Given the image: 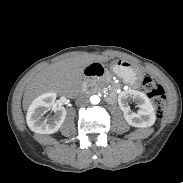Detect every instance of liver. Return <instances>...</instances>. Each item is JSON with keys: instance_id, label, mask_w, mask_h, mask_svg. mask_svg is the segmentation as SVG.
Returning a JSON list of instances; mask_svg holds the SVG:
<instances>
[{"instance_id": "6515ba94", "label": "liver", "mask_w": 183, "mask_h": 183, "mask_svg": "<svg viewBox=\"0 0 183 183\" xmlns=\"http://www.w3.org/2000/svg\"><path fill=\"white\" fill-rule=\"evenodd\" d=\"M109 58L83 54L72 56L49 65L39 72L28 84L23 106L26 109L32 100L44 92H65L69 86L80 85L84 69L93 62H105Z\"/></svg>"}]
</instances>
